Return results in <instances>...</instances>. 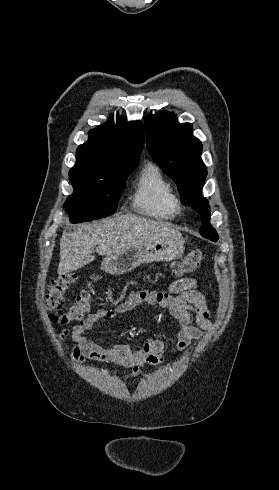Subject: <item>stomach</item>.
Returning a JSON list of instances; mask_svg holds the SVG:
<instances>
[{
	"label": "stomach",
	"instance_id": "0dacf381",
	"mask_svg": "<svg viewBox=\"0 0 279 490\" xmlns=\"http://www.w3.org/2000/svg\"><path fill=\"white\" fill-rule=\"evenodd\" d=\"M184 254V240L182 236H170V238H159L152 242H144L138 248H129L120 254L107 256L101 264V270L107 274L121 276L131 272L140 264H151V262H173L180 260Z\"/></svg>",
	"mask_w": 279,
	"mask_h": 490
}]
</instances>
